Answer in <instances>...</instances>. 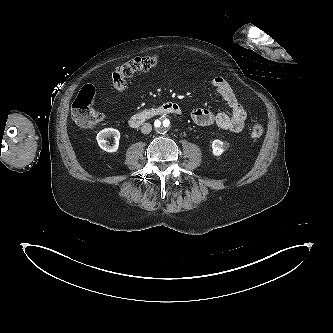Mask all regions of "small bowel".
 I'll return each mask as SVG.
<instances>
[{"label":"small bowel","mask_w":333,"mask_h":333,"mask_svg":"<svg viewBox=\"0 0 333 333\" xmlns=\"http://www.w3.org/2000/svg\"><path fill=\"white\" fill-rule=\"evenodd\" d=\"M212 88L227 103L230 113L213 112L208 108H196L191 111L193 122L199 126L216 125L220 129L239 133L243 130L247 113L240 104L238 96L231 85L223 77H215L211 81Z\"/></svg>","instance_id":"1"}]
</instances>
